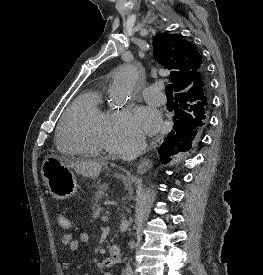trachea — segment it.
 <instances>
[{"instance_id": "3493384b", "label": "trachea", "mask_w": 263, "mask_h": 275, "mask_svg": "<svg viewBox=\"0 0 263 275\" xmlns=\"http://www.w3.org/2000/svg\"><path fill=\"white\" fill-rule=\"evenodd\" d=\"M165 92H166L167 98L173 97V86H172V84H168L166 86Z\"/></svg>"}]
</instances>
